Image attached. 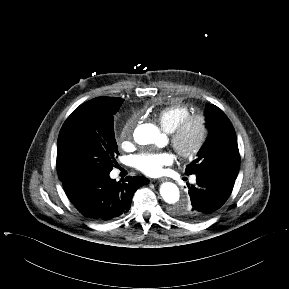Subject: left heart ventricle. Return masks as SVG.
Returning <instances> with one entry per match:
<instances>
[{
	"mask_svg": "<svg viewBox=\"0 0 289 289\" xmlns=\"http://www.w3.org/2000/svg\"><path fill=\"white\" fill-rule=\"evenodd\" d=\"M199 136V127L197 123H192L186 130L182 144L184 147L189 148L195 144Z\"/></svg>",
	"mask_w": 289,
	"mask_h": 289,
	"instance_id": "obj_1",
	"label": "left heart ventricle"
}]
</instances>
